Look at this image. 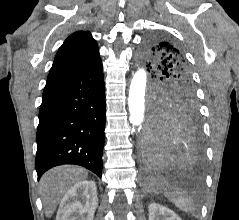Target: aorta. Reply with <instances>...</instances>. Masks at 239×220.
Segmentation results:
<instances>
[{
  "instance_id": "obj_1",
  "label": "aorta",
  "mask_w": 239,
  "mask_h": 220,
  "mask_svg": "<svg viewBox=\"0 0 239 220\" xmlns=\"http://www.w3.org/2000/svg\"><path fill=\"white\" fill-rule=\"evenodd\" d=\"M147 83V72L143 66H139L132 78L128 98L130 123L139 128H141L144 121Z\"/></svg>"
}]
</instances>
